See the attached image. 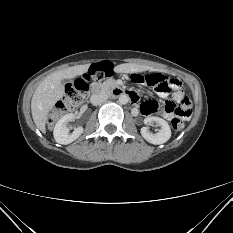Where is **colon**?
<instances>
[{
    "mask_svg": "<svg viewBox=\"0 0 233 233\" xmlns=\"http://www.w3.org/2000/svg\"><path fill=\"white\" fill-rule=\"evenodd\" d=\"M111 73L112 66L110 64H97L92 66L87 74H84L70 84L66 89L64 97L56 103L50 113L47 121L48 126L53 127L65 113L72 110L83 101L89 90L92 79L102 80L106 76L111 75ZM130 79L134 83L147 84L148 86L155 88L157 91H169L174 86L172 79L165 78L160 74H132ZM164 106L175 112V117L171 120L172 128L176 131L182 130L184 128L185 121L192 114V105L190 100L188 98H184L179 102L178 106L172 103H167ZM150 108L154 112H157L161 109V105L158 102L152 101L150 103Z\"/></svg>",
    "mask_w": 233,
    "mask_h": 233,
    "instance_id": "obj_1",
    "label": "colon"
}]
</instances>
